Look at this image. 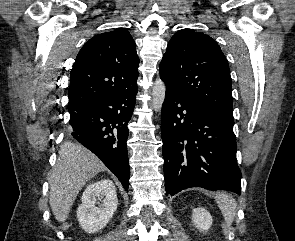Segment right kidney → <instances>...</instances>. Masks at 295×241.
Wrapping results in <instances>:
<instances>
[{"label":"right kidney","instance_id":"obj_1","mask_svg":"<svg viewBox=\"0 0 295 241\" xmlns=\"http://www.w3.org/2000/svg\"><path fill=\"white\" fill-rule=\"evenodd\" d=\"M77 210V219L85 232L95 233L103 229L117 209L118 199L114 183L101 179L88 185Z\"/></svg>","mask_w":295,"mask_h":241}]
</instances>
